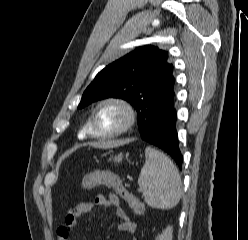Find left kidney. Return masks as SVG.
Returning <instances> with one entry per match:
<instances>
[{
  "mask_svg": "<svg viewBox=\"0 0 248 240\" xmlns=\"http://www.w3.org/2000/svg\"><path fill=\"white\" fill-rule=\"evenodd\" d=\"M173 227L172 226H168L161 235H158V237L156 238V240H172L173 238Z\"/></svg>",
  "mask_w": 248,
  "mask_h": 240,
  "instance_id": "1",
  "label": "left kidney"
}]
</instances>
